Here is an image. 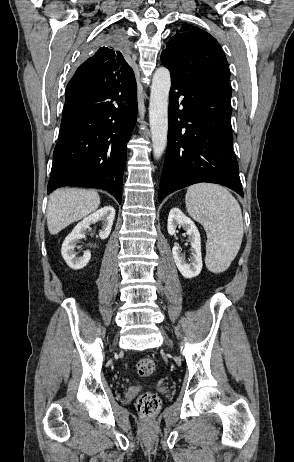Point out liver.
I'll return each instance as SVG.
<instances>
[{"label":"liver","instance_id":"liver-1","mask_svg":"<svg viewBox=\"0 0 294 462\" xmlns=\"http://www.w3.org/2000/svg\"><path fill=\"white\" fill-rule=\"evenodd\" d=\"M100 205L96 191L65 188L54 191L47 207V226L55 235L73 222L81 220Z\"/></svg>","mask_w":294,"mask_h":462}]
</instances>
